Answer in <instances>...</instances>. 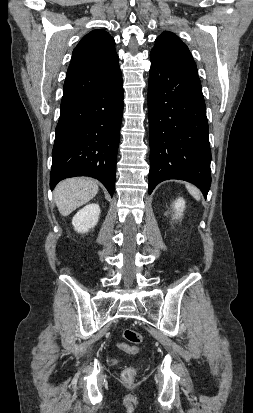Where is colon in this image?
<instances>
[{"mask_svg":"<svg viewBox=\"0 0 253 413\" xmlns=\"http://www.w3.org/2000/svg\"><path fill=\"white\" fill-rule=\"evenodd\" d=\"M122 337L128 341L131 345H127V344H120V348L124 349L127 352L130 353H135L137 351V345H139L142 341V336L141 334L133 329H123L122 332ZM136 369L133 367H129L126 368L123 372H122V378L125 382L131 383L134 381L135 376H136Z\"/></svg>","mask_w":253,"mask_h":413,"instance_id":"5ec220e1","label":"colon"}]
</instances>
